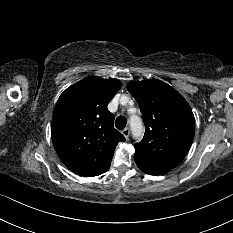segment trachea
Returning <instances> with one entry per match:
<instances>
[{
    "label": "trachea",
    "instance_id": "1",
    "mask_svg": "<svg viewBox=\"0 0 233 233\" xmlns=\"http://www.w3.org/2000/svg\"><path fill=\"white\" fill-rule=\"evenodd\" d=\"M127 119L124 116H118L115 121V126L119 130H123L126 127Z\"/></svg>",
    "mask_w": 233,
    "mask_h": 233
}]
</instances>
